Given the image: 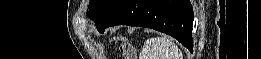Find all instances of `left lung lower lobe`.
<instances>
[{
  "mask_svg": "<svg viewBox=\"0 0 261 59\" xmlns=\"http://www.w3.org/2000/svg\"><path fill=\"white\" fill-rule=\"evenodd\" d=\"M116 25L152 28L175 37L193 50V8L189 0H119L96 23L100 33Z\"/></svg>",
  "mask_w": 261,
  "mask_h": 59,
  "instance_id": "0a47b994",
  "label": "left lung lower lobe"
}]
</instances>
